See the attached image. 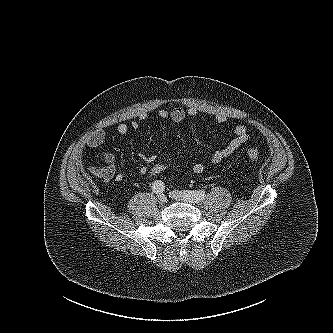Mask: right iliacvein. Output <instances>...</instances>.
<instances>
[{"mask_svg": "<svg viewBox=\"0 0 333 333\" xmlns=\"http://www.w3.org/2000/svg\"><path fill=\"white\" fill-rule=\"evenodd\" d=\"M158 202L160 204H165L167 202V197L164 194H159L158 195Z\"/></svg>", "mask_w": 333, "mask_h": 333, "instance_id": "63e3f726", "label": "right iliac vein"}]
</instances>
